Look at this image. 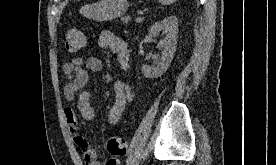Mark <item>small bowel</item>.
<instances>
[{"instance_id":"obj_1","label":"small bowel","mask_w":276,"mask_h":165,"mask_svg":"<svg viewBox=\"0 0 276 165\" xmlns=\"http://www.w3.org/2000/svg\"><path fill=\"white\" fill-rule=\"evenodd\" d=\"M98 44L102 48L112 51L122 69H127L129 64V47L127 42L117 34L111 31H102L98 38ZM103 68L102 61L97 57H89L86 60L75 58L67 62L63 66V73L67 82L64 86V97L68 101H72L78 96V110L81 116L86 120L94 118V108L90 102V92L85 90V86L89 79V71L99 72ZM114 102L108 110L107 121L110 124H117L126 108L130 103L134 94L131 87L124 81L118 80L114 84ZM64 115L73 141L80 149L85 165H102L98 159L96 151L89 145L87 140L78 131V118L72 108H65ZM104 165H119V161L115 157H110Z\"/></svg>"}]
</instances>
